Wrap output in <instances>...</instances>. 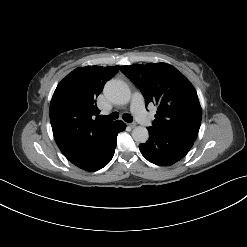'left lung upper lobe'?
<instances>
[{"instance_id": "5c2ea615", "label": "left lung upper lobe", "mask_w": 247, "mask_h": 247, "mask_svg": "<svg viewBox=\"0 0 247 247\" xmlns=\"http://www.w3.org/2000/svg\"><path fill=\"white\" fill-rule=\"evenodd\" d=\"M120 70L140 89L146 105H158L149 130L196 140L201 106L194 87L184 75L166 63L122 66Z\"/></svg>"}]
</instances>
